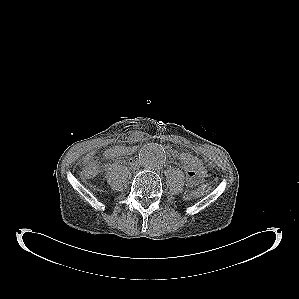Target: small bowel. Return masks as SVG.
<instances>
[{
  "mask_svg": "<svg viewBox=\"0 0 299 299\" xmlns=\"http://www.w3.org/2000/svg\"><path fill=\"white\" fill-rule=\"evenodd\" d=\"M136 151L134 146H113L105 151V156L107 158H117L120 156L130 155ZM186 170V179L189 186L197 185L205 176V169L202 167L201 170L195 171L192 169Z\"/></svg>",
  "mask_w": 299,
  "mask_h": 299,
  "instance_id": "obj_1",
  "label": "small bowel"
}]
</instances>
